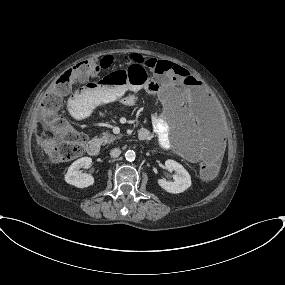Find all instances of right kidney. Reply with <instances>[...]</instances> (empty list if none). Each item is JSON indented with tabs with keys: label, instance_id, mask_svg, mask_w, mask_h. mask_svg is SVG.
<instances>
[{
	"label": "right kidney",
	"instance_id": "1",
	"mask_svg": "<svg viewBox=\"0 0 285 285\" xmlns=\"http://www.w3.org/2000/svg\"><path fill=\"white\" fill-rule=\"evenodd\" d=\"M91 163L92 159L90 157H82L74 161L68 168L65 175V181L78 188H85L93 185L94 177L87 173H81L80 171L82 167L89 168Z\"/></svg>",
	"mask_w": 285,
	"mask_h": 285
}]
</instances>
